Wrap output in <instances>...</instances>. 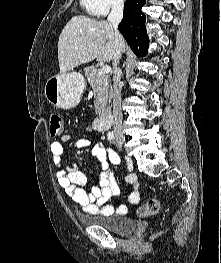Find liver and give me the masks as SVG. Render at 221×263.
<instances>
[{
    "instance_id": "obj_1",
    "label": "liver",
    "mask_w": 221,
    "mask_h": 263,
    "mask_svg": "<svg viewBox=\"0 0 221 263\" xmlns=\"http://www.w3.org/2000/svg\"><path fill=\"white\" fill-rule=\"evenodd\" d=\"M114 52V28L109 22L83 15L74 16L63 28L58 41L60 73H66L94 59L110 62Z\"/></svg>"
}]
</instances>
